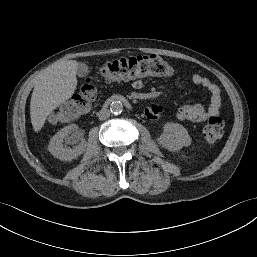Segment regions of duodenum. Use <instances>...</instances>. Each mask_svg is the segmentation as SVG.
I'll return each mask as SVG.
<instances>
[{
    "label": "duodenum",
    "mask_w": 257,
    "mask_h": 257,
    "mask_svg": "<svg viewBox=\"0 0 257 257\" xmlns=\"http://www.w3.org/2000/svg\"><path fill=\"white\" fill-rule=\"evenodd\" d=\"M115 101H121V102L124 103L125 105L130 106L129 100H128L126 97L121 96V95L112 96L111 98H109V99L105 102V104L107 105L108 103L115 102Z\"/></svg>",
    "instance_id": "duodenum-1"
}]
</instances>
